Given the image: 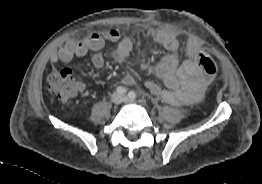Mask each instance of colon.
<instances>
[{
    "mask_svg": "<svg viewBox=\"0 0 262 184\" xmlns=\"http://www.w3.org/2000/svg\"><path fill=\"white\" fill-rule=\"evenodd\" d=\"M196 60L208 81L216 78L218 66L212 57L204 51L196 52ZM48 91L61 103L71 100L81 86L70 69H62L51 73L47 78Z\"/></svg>",
    "mask_w": 262,
    "mask_h": 184,
    "instance_id": "obj_1",
    "label": "colon"
}]
</instances>
